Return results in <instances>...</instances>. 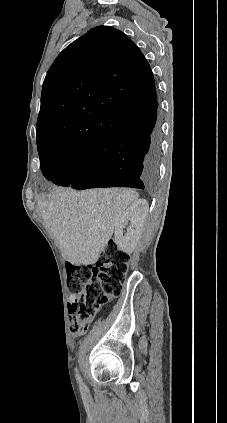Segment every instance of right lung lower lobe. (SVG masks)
Instances as JSON below:
<instances>
[{
	"instance_id": "1",
	"label": "right lung lower lobe",
	"mask_w": 227,
	"mask_h": 423,
	"mask_svg": "<svg viewBox=\"0 0 227 423\" xmlns=\"http://www.w3.org/2000/svg\"><path fill=\"white\" fill-rule=\"evenodd\" d=\"M157 112L156 88L145 100L107 108L106 115L124 119L129 126L101 138L73 162L41 164L44 177L56 185L78 190L104 187L151 190L156 184L161 152Z\"/></svg>"
}]
</instances>
